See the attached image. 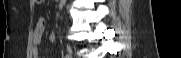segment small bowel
I'll list each match as a JSON object with an SVG mask.
<instances>
[{
	"instance_id": "obj_1",
	"label": "small bowel",
	"mask_w": 181,
	"mask_h": 58,
	"mask_svg": "<svg viewBox=\"0 0 181 58\" xmlns=\"http://www.w3.org/2000/svg\"><path fill=\"white\" fill-rule=\"evenodd\" d=\"M46 22L44 18H39L36 21L35 24V30H34V39H33V45H34V51L33 55L34 58H40L39 56V49L41 46L42 38L45 32ZM51 42H55L57 39V36L55 33H52L49 37Z\"/></svg>"
}]
</instances>
